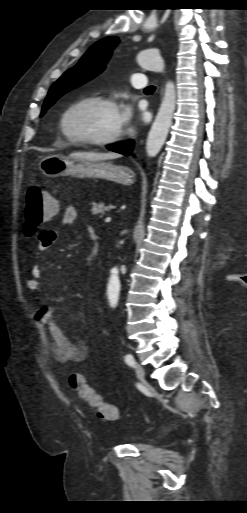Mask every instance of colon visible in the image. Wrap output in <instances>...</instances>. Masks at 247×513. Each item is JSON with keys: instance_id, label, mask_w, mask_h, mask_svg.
Here are the masks:
<instances>
[{"instance_id": "1", "label": "colon", "mask_w": 247, "mask_h": 513, "mask_svg": "<svg viewBox=\"0 0 247 513\" xmlns=\"http://www.w3.org/2000/svg\"><path fill=\"white\" fill-rule=\"evenodd\" d=\"M59 212V203L40 183L29 187L24 202V233L33 236ZM69 383L79 398L89 404L101 419L113 421L117 408L106 402L85 380L82 374H72Z\"/></svg>"}]
</instances>
